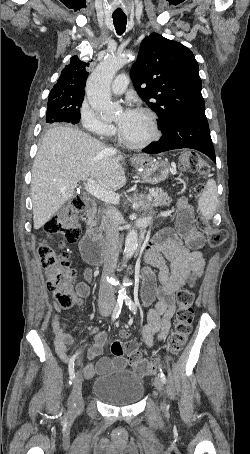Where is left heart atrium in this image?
Returning a JSON list of instances; mask_svg holds the SVG:
<instances>
[{
    "instance_id": "obj_1",
    "label": "left heart atrium",
    "mask_w": 250,
    "mask_h": 454,
    "mask_svg": "<svg viewBox=\"0 0 250 454\" xmlns=\"http://www.w3.org/2000/svg\"><path fill=\"white\" fill-rule=\"evenodd\" d=\"M134 112H135V110L132 107H130V106L126 107V109L123 113L124 120L128 119Z\"/></svg>"
}]
</instances>
